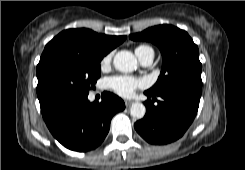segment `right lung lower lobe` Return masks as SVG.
Wrapping results in <instances>:
<instances>
[{
  "mask_svg": "<svg viewBox=\"0 0 245 170\" xmlns=\"http://www.w3.org/2000/svg\"><path fill=\"white\" fill-rule=\"evenodd\" d=\"M87 95L61 98L41 107L52 135L73 151L85 152L98 147L108 134L113 115L125 109L123 100L113 93L104 92L101 102L92 103Z\"/></svg>",
  "mask_w": 245,
  "mask_h": 170,
  "instance_id": "1",
  "label": "right lung lower lobe"
}]
</instances>
